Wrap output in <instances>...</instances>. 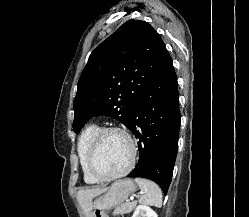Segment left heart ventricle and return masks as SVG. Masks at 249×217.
Listing matches in <instances>:
<instances>
[{"label":"left heart ventricle","mask_w":249,"mask_h":217,"mask_svg":"<svg viewBox=\"0 0 249 217\" xmlns=\"http://www.w3.org/2000/svg\"><path fill=\"white\" fill-rule=\"evenodd\" d=\"M131 156L127 139L119 133L106 134L99 143L94 166L103 175H112L123 170Z\"/></svg>","instance_id":"obj_1"}]
</instances>
